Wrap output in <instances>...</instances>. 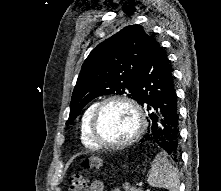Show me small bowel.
Instances as JSON below:
<instances>
[{
	"label": "small bowel",
	"instance_id": "1",
	"mask_svg": "<svg viewBox=\"0 0 221 191\" xmlns=\"http://www.w3.org/2000/svg\"><path fill=\"white\" fill-rule=\"evenodd\" d=\"M105 184L101 180H95L90 184L89 191H104ZM111 191H120L117 188L112 189Z\"/></svg>",
	"mask_w": 221,
	"mask_h": 191
}]
</instances>
